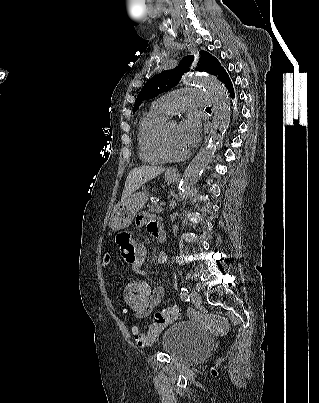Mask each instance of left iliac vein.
I'll return each instance as SVG.
<instances>
[{
  "label": "left iliac vein",
  "instance_id": "4c4485c4",
  "mask_svg": "<svg viewBox=\"0 0 319 403\" xmlns=\"http://www.w3.org/2000/svg\"><path fill=\"white\" fill-rule=\"evenodd\" d=\"M191 300L195 305H200L201 304V296L197 290H192L191 291Z\"/></svg>",
  "mask_w": 319,
  "mask_h": 403
}]
</instances>
